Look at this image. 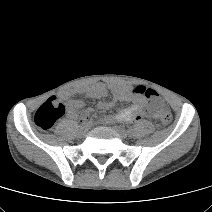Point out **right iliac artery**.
Masks as SVG:
<instances>
[{"instance_id":"1","label":"right iliac artery","mask_w":212,"mask_h":212,"mask_svg":"<svg viewBox=\"0 0 212 212\" xmlns=\"http://www.w3.org/2000/svg\"><path fill=\"white\" fill-rule=\"evenodd\" d=\"M91 124H92V121H87V122L82 123L83 126H88V125H91Z\"/></svg>"}]
</instances>
